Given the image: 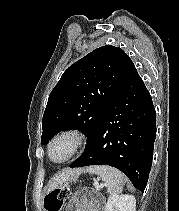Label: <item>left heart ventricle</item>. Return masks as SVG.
Here are the masks:
<instances>
[{"label":"left heart ventricle","instance_id":"b2bd125f","mask_svg":"<svg viewBox=\"0 0 179 211\" xmlns=\"http://www.w3.org/2000/svg\"><path fill=\"white\" fill-rule=\"evenodd\" d=\"M71 149V142L69 140L58 141L51 150L53 160H61L67 156Z\"/></svg>","mask_w":179,"mask_h":211}]
</instances>
